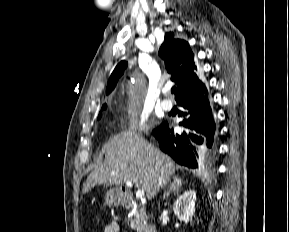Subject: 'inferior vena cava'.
Returning a JSON list of instances; mask_svg holds the SVG:
<instances>
[{
  "label": "inferior vena cava",
  "instance_id": "obj_1",
  "mask_svg": "<svg viewBox=\"0 0 289 232\" xmlns=\"http://www.w3.org/2000/svg\"><path fill=\"white\" fill-rule=\"evenodd\" d=\"M166 184V176L161 174V176L158 179V190L162 188Z\"/></svg>",
  "mask_w": 289,
  "mask_h": 232
}]
</instances>
